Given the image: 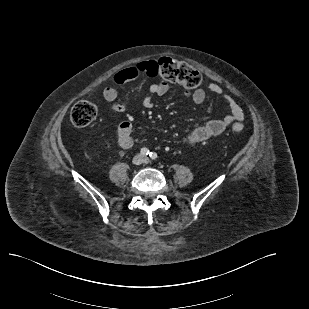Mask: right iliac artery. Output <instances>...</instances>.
Here are the masks:
<instances>
[{"label": "right iliac artery", "mask_w": 309, "mask_h": 309, "mask_svg": "<svg viewBox=\"0 0 309 309\" xmlns=\"http://www.w3.org/2000/svg\"><path fill=\"white\" fill-rule=\"evenodd\" d=\"M140 153L142 154V155H148L149 154V150L147 149V148H142L141 150H140Z\"/></svg>", "instance_id": "1"}]
</instances>
